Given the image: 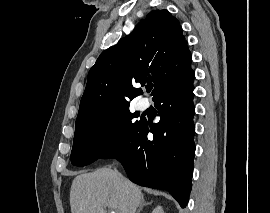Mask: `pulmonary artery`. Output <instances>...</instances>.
Here are the masks:
<instances>
[{"instance_id": "1", "label": "pulmonary artery", "mask_w": 270, "mask_h": 213, "mask_svg": "<svg viewBox=\"0 0 270 213\" xmlns=\"http://www.w3.org/2000/svg\"><path fill=\"white\" fill-rule=\"evenodd\" d=\"M137 106H138V109L145 110L147 108L148 104L146 101H140V102H138Z\"/></svg>"}]
</instances>
